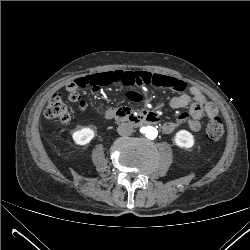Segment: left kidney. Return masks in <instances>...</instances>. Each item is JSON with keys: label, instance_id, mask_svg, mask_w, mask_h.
Returning a JSON list of instances; mask_svg holds the SVG:
<instances>
[{"label": "left kidney", "instance_id": "1", "mask_svg": "<svg viewBox=\"0 0 250 250\" xmlns=\"http://www.w3.org/2000/svg\"><path fill=\"white\" fill-rule=\"evenodd\" d=\"M175 143L181 148H192L195 143L194 136L187 130H180L175 135Z\"/></svg>", "mask_w": 250, "mask_h": 250}]
</instances>
